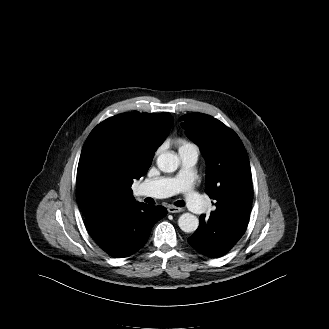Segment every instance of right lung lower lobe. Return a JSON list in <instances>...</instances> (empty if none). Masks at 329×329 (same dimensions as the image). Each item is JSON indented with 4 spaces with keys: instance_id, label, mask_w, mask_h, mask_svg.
<instances>
[{
    "instance_id": "right-lung-lower-lobe-1",
    "label": "right lung lower lobe",
    "mask_w": 329,
    "mask_h": 329,
    "mask_svg": "<svg viewBox=\"0 0 329 329\" xmlns=\"http://www.w3.org/2000/svg\"><path fill=\"white\" fill-rule=\"evenodd\" d=\"M166 214L163 206L131 201L101 206L85 215V223L105 252L127 257L145 245L153 225Z\"/></svg>"
}]
</instances>
